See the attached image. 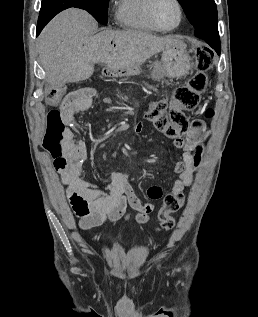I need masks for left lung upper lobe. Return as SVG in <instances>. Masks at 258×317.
Returning <instances> with one entry per match:
<instances>
[{"label":"left lung upper lobe","mask_w":258,"mask_h":317,"mask_svg":"<svg viewBox=\"0 0 258 317\" xmlns=\"http://www.w3.org/2000/svg\"><path fill=\"white\" fill-rule=\"evenodd\" d=\"M194 28H217V8L214 0H178Z\"/></svg>","instance_id":"5c2ea615"}]
</instances>
